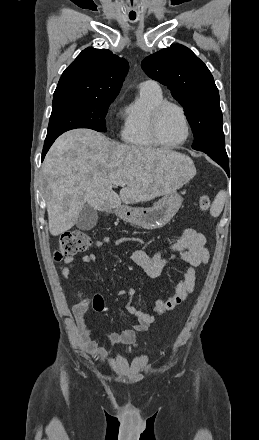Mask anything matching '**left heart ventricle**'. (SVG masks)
<instances>
[{"mask_svg": "<svg viewBox=\"0 0 259 440\" xmlns=\"http://www.w3.org/2000/svg\"><path fill=\"white\" fill-rule=\"evenodd\" d=\"M159 134L161 139L168 144L181 141L186 134V128L180 112L173 108H167L160 120Z\"/></svg>", "mask_w": 259, "mask_h": 440, "instance_id": "b2bd125f", "label": "left heart ventricle"}]
</instances>
